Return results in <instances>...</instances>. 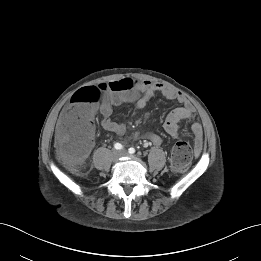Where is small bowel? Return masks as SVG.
<instances>
[{
  "mask_svg": "<svg viewBox=\"0 0 261 261\" xmlns=\"http://www.w3.org/2000/svg\"><path fill=\"white\" fill-rule=\"evenodd\" d=\"M156 92H160L167 99L176 100L181 104L180 107L172 110L166 116L164 121V129L166 130V132L173 137H178L179 122L182 120L193 118V107L185 98V96L176 89L151 82L138 83L131 91H121L116 94H111L109 98L104 100L100 107V113L102 116V127L114 134H123L125 132V125L113 119V107L115 105H121L123 103H131L133 104L134 111L140 110L146 106L148 101ZM71 108L72 105L69 103L65 106L62 112L56 134L57 143H61L63 139V136L59 131L61 119ZM95 128L96 122L93 114L88 123L89 137L91 143L87 155L93 147L92 136L95 132ZM191 131L195 141L196 152L197 154H199L202 148L203 128L199 122L193 121L191 125ZM147 139L153 144H159L161 142V138L157 134H149L147 136Z\"/></svg>",
  "mask_w": 261,
  "mask_h": 261,
  "instance_id": "c3829d8e",
  "label": "small bowel"
}]
</instances>
